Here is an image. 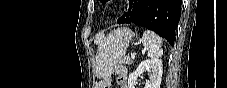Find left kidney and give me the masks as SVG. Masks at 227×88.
<instances>
[{
  "instance_id": "obj_1",
  "label": "left kidney",
  "mask_w": 227,
  "mask_h": 88,
  "mask_svg": "<svg viewBox=\"0 0 227 88\" xmlns=\"http://www.w3.org/2000/svg\"><path fill=\"white\" fill-rule=\"evenodd\" d=\"M150 72L149 80L145 82V88H160L162 79V61L160 59H148L142 61L128 79L129 88H135L138 77L144 72Z\"/></svg>"
}]
</instances>
